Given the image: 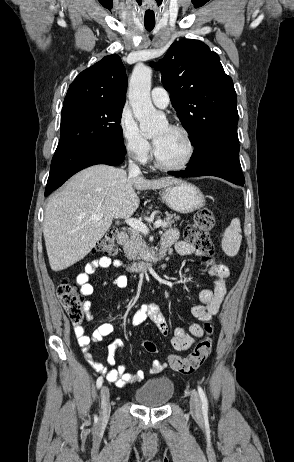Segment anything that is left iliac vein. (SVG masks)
I'll use <instances>...</instances> for the list:
<instances>
[{
	"label": "left iliac vein",
	"instance_id": "obj_1",
	"mask_svg": "<svg viewBox=\"0 0 294 462\" xmlns=\"http://www.w3.org/2000/svg\"><path fill=\"white\" fill-rule=\"evenodd\" d=\"M190 409L194 415L201 414V403L198 393L193 390L190 397Z\"/></svg>",
	"mask_w": 294,
	"mask_h": 462
}]
</instances>
